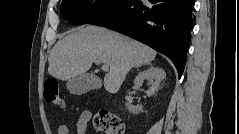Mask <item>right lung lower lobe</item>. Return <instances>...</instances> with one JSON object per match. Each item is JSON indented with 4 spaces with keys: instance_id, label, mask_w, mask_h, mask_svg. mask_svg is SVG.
Wrapping results in <instances>:
<instances>
[{
    "instance_id": "98d812e1",
    "label": "right lung lower lobe",
    "mask_w": 239,
    "mask_h": 134,
    "mask_svg": "<svg viewBox=\"0 0 239 134\" xmlns=\"http://www.w3.org/2000/svg\"><path fill=\"white\" fill-rule=\"evenodd\" d=\"M193 0H120L85 24L104 26L136 39L169 57L182 76L190 31Z\"/></svg>"
}]
</instances>
